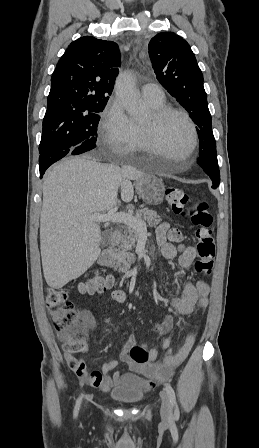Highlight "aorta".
<instances>
[{"label": "aorta", "instance_id": "obj_1", "mask_svg": "<svg viewBox=\"0 0 259 448\" xmlns=\"http://www.w3.org/2000/svg\"><path fill=\"white\" fill-rule=\"evenodd\" d=\"M115 93L130 117L136 119L144 111V105L140 99L135 85V79L130 72H121L115 82Z\"/></svg>", "mask_w": 259, "mask_h": 448}]
</instances>
